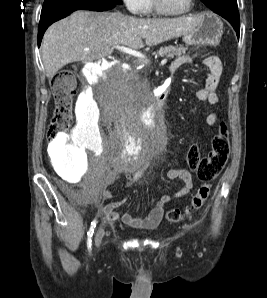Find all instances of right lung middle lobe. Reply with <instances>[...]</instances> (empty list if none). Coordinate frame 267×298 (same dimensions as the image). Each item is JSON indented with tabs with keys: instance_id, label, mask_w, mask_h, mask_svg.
<instances>
[{
	"instance_id": "obj_1",
	"label": "right lung middle lobe",
	"mask_w": 267,
	"mask_h": 298,
	"mask_svg": "<svg viewBox=\"0 0 267 298\" xmlns=\"http://www.w3.org/2000/svg\"><path fill=\"white\" fill-rule=\"evenodd\" d=\"M56 0H45L43 7L49 5L50 3L54 2ZM107 1H111V2H115L116 4H122V0H107Z\"/></svg>"
}]
</instances>
